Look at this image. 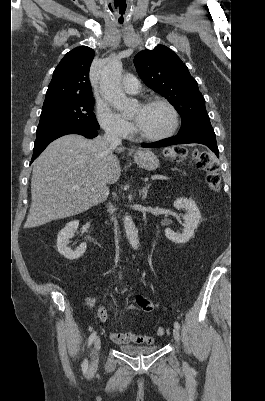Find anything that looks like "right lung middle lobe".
Returning <instances> with one entry per match:
<instances>
[{
    "label": "right lung middle lobe",
    "instance_id": "1",
    "mask_svg": "<svg viewBox=\"0 0 265 401\" xmlns=\"http://www.w3.org/2000/svg\"><path fill=\"white\" fill-rule=\"evenodd\" d=\"M94 98L78 97L43 105L37 134L54 127H80L98 130L93 113Z\"/></svg>",
    "mask_w": 265,
    "mask_h": 401
}]
</instances>
